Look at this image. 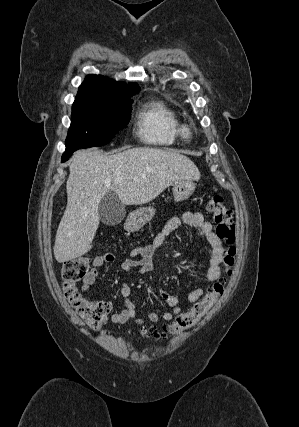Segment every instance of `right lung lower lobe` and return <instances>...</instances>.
Returning a JSON list of instances; mask_svg holds the SVG:
<instances>
[{
  "instance_id": "right-lung-lower-lobe-1",
  "label": "right lung lower lobe",
  "mask_w": 299,
  "mask_h": 427,
  "mask_svg": "<svg viewBox=\"0 0 299 427\" xmlns=\"http://www.w3.org/2000/svg\"><path fill=\"white\" fill-rule=\"evenodd\" d=\"M73 152H71V153H64L63 155H62V162H65V161H67L68 159H69V157L71 156V154H72Z\"/></svg>"
}]
</instances>
